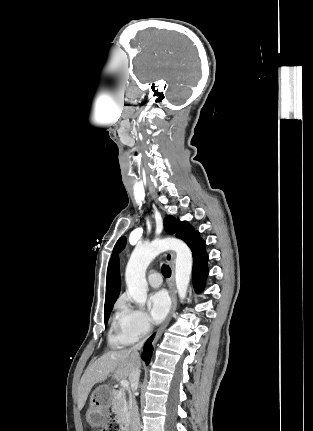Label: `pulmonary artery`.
Masks as SVG:
<instances>
[{"instance_id":"pulmonary-artery-1","label":"pulmonary artery","mask_w":313,"mask_h":431,"mask_svg":"<svg viewBox=\"0 0 313 431\" xmlns=\"http://www.w3.org/2000/svg\"><path fill=\"white\" fill-rule=\"evenodd\" d=\"M147 279H148V283L151 287L158 288L161 286L162 278L158 272H156V271L150 272Z\"/></svg>"}]
</instances>
